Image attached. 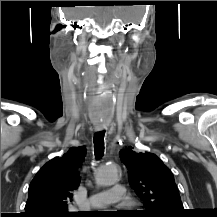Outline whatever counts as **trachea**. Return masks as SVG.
I'll use <instances>...</instances> for the list:
<instances>
[{
  "instance_id": "1",
  "label": "trachea",
  "mask_w": 217,
  "mask_h": 217,
  "mask_svg": "<svg viewBox=\"0 0 217 217\" xmlns=\"http://www.w3.org/2000/svg\"><path fill=\"white\" fill-rule=\"evenodd\" d=\"M104 134V131H99L94 135V152L96 159H100L104 154Z\"/></svg>"
}]
</instances>
